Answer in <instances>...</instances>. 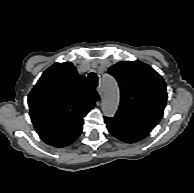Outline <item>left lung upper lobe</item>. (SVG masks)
Here are the masks:
<instances>
[{
	"label": "left lung upper lobe",
	"instance_id": "left-lung-upper-lobe-1",
	"mask_svg": "<svg viewBox=\"0 0 194 193\" xmlns=\"http://www.w3.org/2000/svg\"><path fill=\"white\" fill-rule=\"evenodd\" d=\"M120 87L118 116L155 127L163 116L167 101L163 78L141 61H121L108 70Z\"/></svg>",
	"mask_w": 194,
	"mask_h": 193
}]
</instances>
